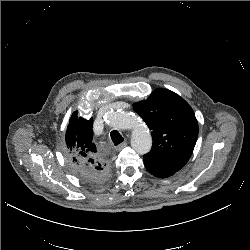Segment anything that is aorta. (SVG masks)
<instances>
[{"label":"aorta","instance_id":"1","mask_svg":"<svg viewBox=\"0 0 250 250\" xmlns=\"http://www.w3.org/2000/svg\"><path fill=\"white\" fill-rule=\"evenodd\" d=\"M106 122L117 129H132L131 146L138 154H146L150 151L151 134L136 115L118 111L108 112Z\"/></svg>","mask_w":250,"mask_h":250}]
</instances>
